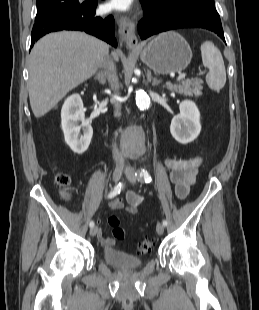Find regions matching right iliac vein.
Returning <instances> with one entry per match:
<instances>
[{
  "label": "right iliac vein",
  "instance_id": "63e3f726",
  "mask_svg": "<svg viewBox=\"0 0 259 310\" xmlns=\"http://www.w3.org/2000/svg\"><path fill=\"white\" fill-rule=\"evenodd\" d=\"M124 169H125V166H124V165H122V164L116 165V167H115V169H114V171H113V175H112L113 180H114L115 182H117V181L120 180V178H121V176H122V173H123ZM97 231H98V227H97V226L92 227V228L90 229V235H91L92 237L95 236V235L97 234Z\"/></svg>",
  "mask_w": 259,
  "mask_h": 310
}]
</instances>
